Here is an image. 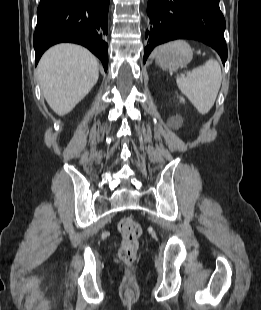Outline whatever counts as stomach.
<instances>
[{
  "label": "stomach",
  "mask_w": 261,
  "mask_h": 310,
  "mask_svg": "<svg viewBox=\"0 0 261 310\" xmlns=\"http://www.w3.org/2000/svg\"><path fill=\"white\" fill-rule=\"evenodd\" d=\"M193 57V50L184 41H175L159 47L155 52L156 63L164 68H178L188 64Z\"/></svg>",
  "instance_id": "obj_1"
}]
</instances>
